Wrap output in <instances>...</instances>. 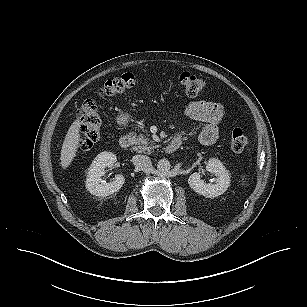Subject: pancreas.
I'll use <instances>...</instances> for the list:
<instances>
[{
	"label": "pancreas",
	"instance_id": "cf45deb5",
	"mask_svg": "<svg viewBox=\"0 0 307 307\" xmlns=\"http://www.w3.org/2000/svg\"><path fill=\"white\" fill-rule=\"evenodd\" d=\"M130 136L134 137L135 146L133 147V150L139 153L150 154L154 149L157 148L155 142L149 140L148 136H145L144 134H139L138 136H136L134 133H131Z\"/></svg>",
	"mask_w": 307,
	"mask_h": 307
}]
</instances>
